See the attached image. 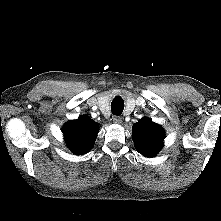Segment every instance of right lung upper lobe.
<instances>
[{"mask_svg": "<svg viewBox=\"0 0 221 221\" xmlns=\"http://www.w3.org/2000/svg\"><path fill=\"white\" fill-rule=\"evenodd\" d=\"M99 125L89 117L81 116L63 127L67 146L76 155L85 154L94 145Z\"/></svg>", "mask_w": 221, "mask_h": 221, "instance_id": "right-lung-upper-lobe-1", "label": "right lung upper lobe"}]
</instances>
